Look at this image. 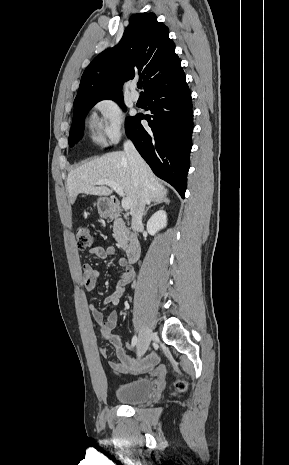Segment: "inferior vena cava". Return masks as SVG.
<instances>
[{
	"label": "inferior vena cava",
	"mask_w": 289,
	"mask_h": 465,
	"mask_svg": "<svg viewBox=\"0 0 289 465\" xmlns=\"http://www.w3.org/2000/svg\"><path fill=\"white\" fill-rule=\"evenodd\" d=\"M124 151L128 157L132 170L135 173L140 174L143 167L145 166V162L136 150L131 140H127L124 142ZM139 193V205L136 211L132 214L133 230H138L142 226V217L145 213V206L148 203V194L146 188L143 185L142 179H140Z\"/></svg>",
	"instance_id": "inferior-vena-cava-1"
}]
</instances>
